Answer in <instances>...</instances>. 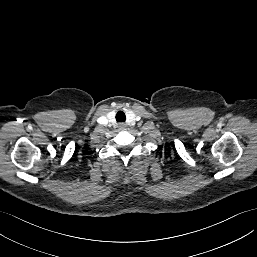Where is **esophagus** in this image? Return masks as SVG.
Segmentation results:
<instances>
[{
	"label": "esophagus",
	"mask_w": 257,
	"mask_h": 257,
	"mask_svg": "<svg viewBox=\"0 0 257 257\" xmlns=\"http://www.w3.org/2000/svg\"><path fill=\"white\" fill-rule=\"evenodd\" d=\"M119 127H120L121 129H123V128H125V124H124V123H120V124H119Z\"/></svg>",
	"instance_id": "34e87169"
}]
</instances>
